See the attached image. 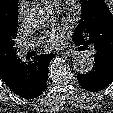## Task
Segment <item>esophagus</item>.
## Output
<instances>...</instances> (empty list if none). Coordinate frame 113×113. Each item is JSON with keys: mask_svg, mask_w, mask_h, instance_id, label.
Wrapping results in <instances>:
<instances>
[{"mask_svg": "<svg viewBox=\"0 0 113 113\" xmlns=\"http://www.w3.org/2000/svg\"><path fill=\"white\" fill-rule=\"evenodd\" d=\"M63 54L67 55L68 57H74L76 56L78 53L75 50H66L63 52Z\"/></svg>", "mask_w": 113, "mask_h": 113, "instance_id": "esophagus-1", "label": "esophagus"}]
</instances>
